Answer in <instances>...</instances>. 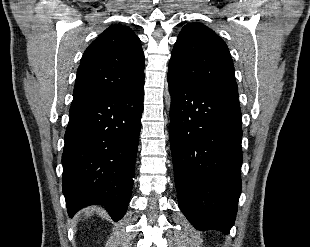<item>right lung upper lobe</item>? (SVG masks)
<instances>
[{"label": "right lung upper lobe", "instance_id": "obj_1", "mask_svg": "<svg viewBox=\"0 0 310 247\" xmlns=\"http://www.w3.org/2000/svg\"><path fill=\"white\" fill-rule=\"evenodd\" d=\"M144 85V53L131 28L113 25L85 50L74 99L134 91Z\"/></svg>", "mask_w": 310, "mask_h": 247}]
</instances>
